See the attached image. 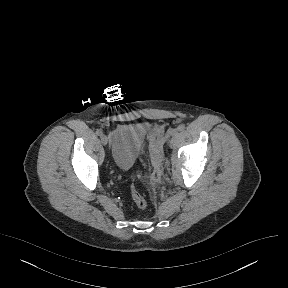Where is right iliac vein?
<instances>
[{"label":"right iliac vein","instance_id":"63e3f726","mask_svg":"<svg viewBox=\"0 0 288 288\" xmlns=\"http://www.w3.org/2000/svg\"><path fill=\"white\" fill-rule=\"evenodd\" d=\"M101 143L103 145H106L108 143V138L105 136V135H102L101 136Z\"/></svg>","mask_w":288,"mask_h":288}]
</instances>
